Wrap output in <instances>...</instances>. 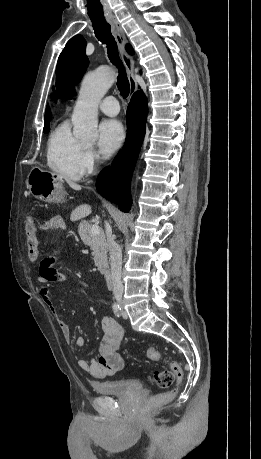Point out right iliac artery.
<instances>
[{
    "mask_svg": "<svg viewBox=\"0 0 261 459\" xmlns=\"http://www.w3.org/2000/svg\"><path fill=\"white\" fill-rule=\"evenodd\" d=\"M112 308H113L114 314L117 317H120L121 316V307L119 306V304H117V303L113 304Z\"/></svg>",
    "mask_w": 261,
    "mask_h": 459,
    "instance_id": "right-iliac-artery-1",
    "label": "right iliac artery"
}]
</instances>
